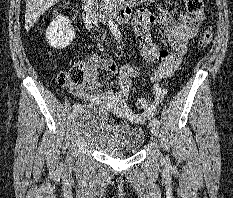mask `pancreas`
I'll use <instances>...</instances> for the list:
<instances>
[{
    "mask_svg": "<svg viewBox=\"0 0 233 198\" xmlns=\"http://www.w3.org/2000/svg\"><path fill=\"white\" fill-rule=\"evenodd\" d=\"M105 6L114 5L115 3L121 2L122 0H102Z\"/></svg>",
    "mask_w": 233,
    "mask_h": 198,
    "instance_id": "cf45deb5",
    "label": "pancreas"
}]
</instances>
